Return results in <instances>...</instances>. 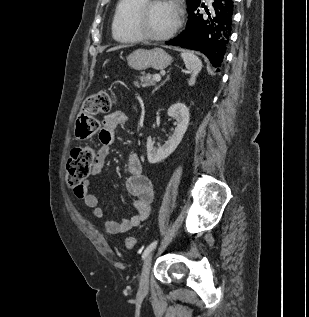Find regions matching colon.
<instances>
[{
	"mask_svg": "<svg viewBox=\"0 0 309 317\" xmlns=\"http://www.w3.org/2000/svg\"><path fill=\"white\" fill-rule=\"evenodd\" d=\"M114 99L106 92H97L83 103L82 112L76 121V135L81 139H86L97 132L99 122L96 115L107 113L111 110ZM95 151L88 146H78L71 150L66 166V182L74 190L79 188L91 173L95 161ZM126 245L129 248L135 246V239L128 237Z\"/></svg>",
	"mask_w": 309,
	"mask_h": 317,
	"instance_id": "1",
	"label": "colon"
}]
</instances>
